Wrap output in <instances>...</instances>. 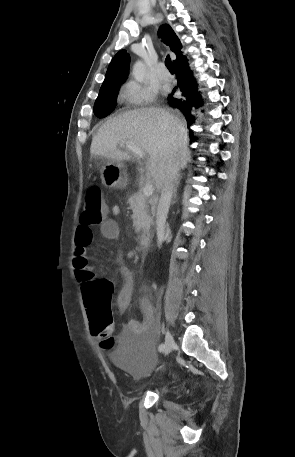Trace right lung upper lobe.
<instances>
[{
    "label": "right lung upper lobe",
    "instance_id": "1",
    "mask_svg": "<svg viewBox=\"0 0 295 457\" xmlns=\"http://www.w3.org/2000/svg\"><path fill=\"white\" fill-rule=\"evenodd\" d=\"M158 35L160 38H162V41L170 47L176 56L182 53V45L169 25H162L159 28ZM129 64V54L125 50L119 51L109 64L105 80L100 90H108L120 87V85L127 79L129 74Z\"/></svg>",
    "mask_w": 295,
    "mask_h": 457
}]
</instances>
